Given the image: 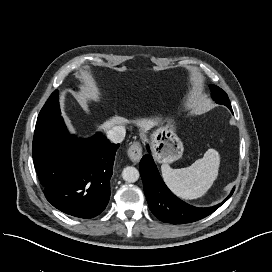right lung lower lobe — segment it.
Returning a JSON list of instances; mask_svg holds the SVG:
<instances>
[{
  "mask_svg": "<svg viewBox=\"0 0 272 272\" xmlns=\"http://www.w3.org/2000/svg\"><path fill=\"white\" fill-rule=\"evenodd\" d=\"M118 147L100 133L89 139L70 135L61 116L37 122L32 155L47 200L74 217L99 215L110 198Z\"/></svg>",
  "mask_w": 272,
  "mask_h": 272,
  "instance_id": "right-lung-lower-lobe-1",
  "label": "right lung lower lobe"
}]
</instances>
